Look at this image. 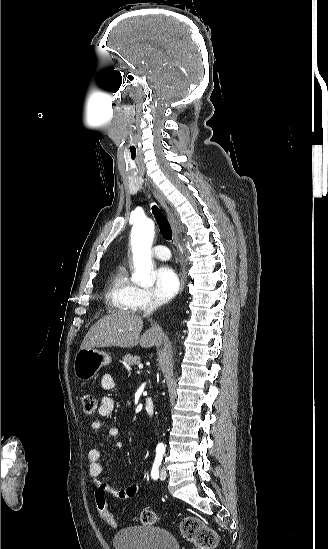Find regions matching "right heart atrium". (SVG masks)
Wrapping results in <instances>:
<instances>
[{
	"label": "right heart atrium",
	"mask_w": 328,
	"mask_h": 549,
	"mask_svg": "<svg viewBox=\"0 0 328 549\" xmlns=\"http://www.w3.org/2000/svg\"><path fill=\"white\" fill-rule=\"evenodd\" d=\"M142 298L144 303H162L161 298L152 288L142 289Z\"/></svg>",
	"instance_id": "right-heart-atrium-1"
}]
</instances>
